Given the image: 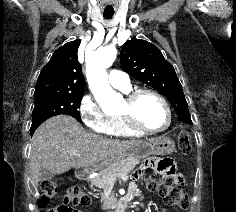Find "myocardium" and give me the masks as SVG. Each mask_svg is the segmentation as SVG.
<instances>
[{
	"mask_svg": "<svg viewBox=\"0 0 236 212\" xmlns=\"http://www.w3.org/2000/svg\"><path fill=\"white\" fill-rule=\"evenodd\" d=\"M144 95H151L157 98L164 105L167 111L168 120L165 126H163L162 128L149 129L142 126L139 122L137 116V104L139 99ZM119 116L123 119V121L130 129L140 134H157L163 132L170 127L173 120L172 109L166 98L159 92L149 88H135L129 90L125 95L124 107L119 113Z\"/></svg>",
	"mask_w": 236,
	"mask_h": 212,
	"instance_id": "myocardium-1",
	"label": "myocardium"
}]
</instances>
